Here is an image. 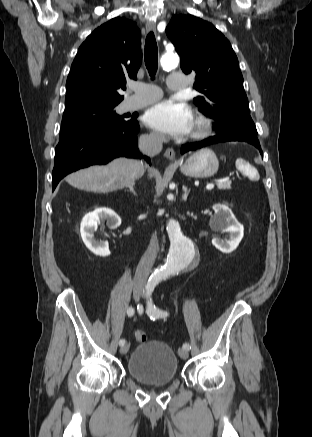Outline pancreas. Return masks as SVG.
<instances>
[{
    "mask_svg": "<svg viewBox=\"0 0 312 437\" xmlns=\"http://www.w3.org/2000/svg\"><path fill=\"white\" fill-rule=\"evenodd\" d=\"M217 188L219 190H230L231 189V181H225L218 183Z\"/></svg>",
    "mask_w": 312,
    "mask_h": 437,
    "instance_id": "cf45deb5",
    "label": "pancreas"
}]
</instances>
